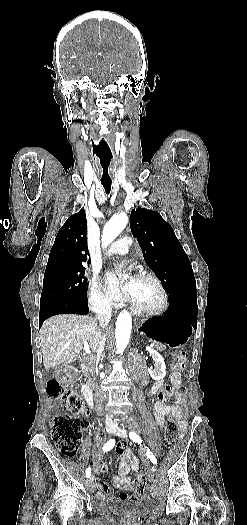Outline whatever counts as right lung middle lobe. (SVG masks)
Instances as JSON below:
<instances>
[{
	"instance_id": "obj_1",
	"label": "right lung middle lobe",
	"mask_w": 247,
	"mask_h": 525,
	"mask_svg": "<svg viewBox=\"0 0 247 525\" xmlns=\"http://www.w3.org/2000/svg\"><path fill=\"white\" fill-rule=\"evenodd\" d=\"M85 268L45 271L40 311L56 302H83L86 296Z\"/></svg>"
}]
</instances>
